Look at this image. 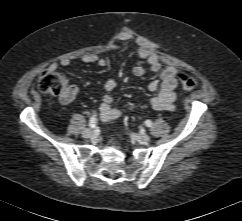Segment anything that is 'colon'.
Masks as SVG:
<instances>
[{"label":"colon","instance_id":"obj_1","mask_svg":"<svg viewBox=\"0 0 242 221\" xmlns=\"http://www.w3.org/2000/svg\"><path fill=\"white\" fill-rule=\"evenodd\" d=\"M178 77L183 89L192 90L196 88L197 81L194 77L187 74H180ZM38 86L42 92L57 96L63 102L70 98L66 78L55 70H44L39 76Z\"/></svg>","mask_w":242,"mask_h":221}]
</instances>
